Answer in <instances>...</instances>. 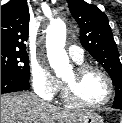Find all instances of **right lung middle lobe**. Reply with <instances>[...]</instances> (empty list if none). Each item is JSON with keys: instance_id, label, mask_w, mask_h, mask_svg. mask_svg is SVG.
I'll list each match as a JSON object with an SVG mask.
<instances>
[{"instance_id": "1", "label": "right lung middle lobe", "mask_w": 122, "mask_h": 123, "mask_svg": "<svg viewBox=\"0 0 122 123\" xmlns=\"http://www.w3.org/2000/svg\"><path fill=\"white\" fill-rule=\"evenodd\" d=\"M1 72L29 80L30 68L27 52L1 51Z\"/></svg>"}]
</instances>
